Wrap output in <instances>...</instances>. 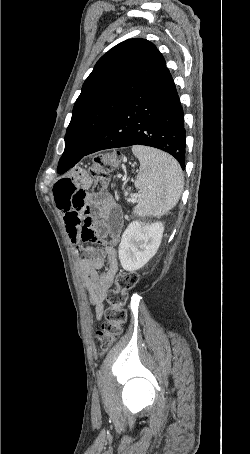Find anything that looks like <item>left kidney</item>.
<instances>
[{
	"mask_svg": "<svg viewBox=\"0 0 250 454\" xmlns=\"http://www.w3.org/2000/svg\"><path fill=\"white\" fill-rule=\"evenodd\" d=\"M164 232L162 222H131L122 235L119 260L126 271L142 268L156 253Z\"/></svg>",
	"mask_w": 250,
	"mask_h": 454,
	"instance_id": "obj_1",
	"label": "left kidney"
}]
</instances>
